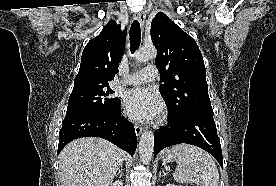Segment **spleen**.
<instances>
[{"label":"spleen","mask_w":276,"mask_h":186,"mask_svg":"<svg viewBox=\"0 0 276 186\" xmlns=\"http://www.w3.org/2000/svg\"><path fill=\"white\" fill-rule=\"evenodd\" d=\"M177 157L178 167L173 174L180 183L197 186H218L219 172L210 154L188 144L175 145L171 149Z\"/></svg>","instance_id":"obj_1"}]
</instances>
